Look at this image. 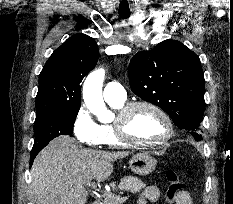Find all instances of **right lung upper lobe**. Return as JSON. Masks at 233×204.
Wrapping results in <instances>:
<instances>
[{
  "instance_id": "1",
  "label": "right lung upper lobe",
  "mask_w": 233,
  "mask_h": 204,
  "mask_svg": "<svg viewBox=\"0 0 233 204\" xmlns=\"http://www.w3.org/2000/svg\"><path fill=\"white\" fill-rule=\"evenodd\" d=\"M99 50L93 38L77 34L49 57L39 76L36 114L80 108L83 78L95 67Z\"/></svg>"
}]
</instances>
